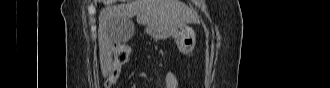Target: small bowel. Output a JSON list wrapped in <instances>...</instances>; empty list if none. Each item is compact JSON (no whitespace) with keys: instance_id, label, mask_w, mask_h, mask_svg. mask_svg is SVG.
<instances>
[{"instance_id":"obj_1","label":"small bowel","mask_w":330,"mask_h":88,"mask_svg":"<svg viewBox=\"0 0 330 88\" xmlns=\"http://www.w3.org/2000/svg\"><path fill=\"white\" fill-rule=\"evenodd\" d=\"M119 52L122 55H127V54L130 55V48L126 47V46H121L119 48ZM128 58H129V56H128ZM177 86H178V81H177L176 75L174 73H169L166 76V87L167 88H177Z\"/></svg>"}]
</instances>
